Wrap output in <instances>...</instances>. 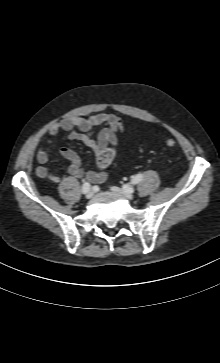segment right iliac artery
Instances as JSON below:
<instances>
[{
	"mask_svg": "<svg viewBox=\"0 0 220 363\" xmlns=\"http://www.w3.org/2000/svg\"><path fill=\"white\" fill-rule=\"evenodd\" d=\"M90 183L88 182H84L83 186H82V192L83 194H86L89 190H90Z\"/></svg>",
	"mask_w": 220,
	"mask_h": 363,
	"instance_id": "82829eb1",
	"label": "right iliac artery"
}]
</instances>
